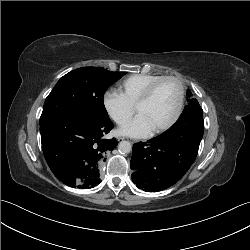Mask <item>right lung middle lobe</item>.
<instances>
[{
  "mask_svg": "<svg viewBox=\"0 0 250 250\" xmlns=\"http://www.w3.org/2000/svg\"><path fill=\"white\" fill-rule=\"evenodd\" d=\"M126 72L85 67L64 75L46 98L40 125L62 117L108 118L103 96Z\"/></svg>",
  "mask_w": 250,
  "mask_h": 250,
  "instance_id": "right-lung-middle-lobe-1",
  "label": "right lung middle lobe"
}]
</instances>
